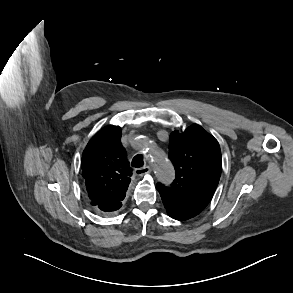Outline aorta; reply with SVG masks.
Masks as SVG:
<instances>
[{
    "label": "aorta",
    "instance_id": "1",
    "mask_svg": "<svg viewBox=\"0 0 293 293\" xmlns=\"http://www.w3.org/2000/svg\"><path fill=\"white\" fill-rule=\"evenodd\" d=\"M145 152L157 179L162 183L169 184L174 178V170L167 155L151 143H147Z\"/></svg>",
    "mask_w": 293,
    "mask_h": 293
}]
</instances>
